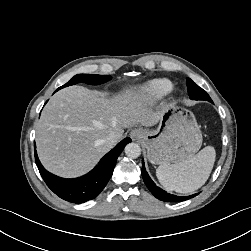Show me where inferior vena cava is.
I'll list each match as a JSON object with an SVG mask.
<instances>
[{
  "instance_id": "602c4592",
  "label": "inferior vena cava",
  "mask_w": 251,
  "mask_h": 251,
  "mask_svg": "<svg viewBox=\"0 0 251 251\" xmlns=\"http://www.w3.org/2000/svg\"><path fill=\"white\" fill-rule=\"evenodd\" d=\"M119 138V135L116 133V132H112L109 134V136L107 137V141L110 143V144H115L117 142Z\"/></svg>"
}]
</instances>
